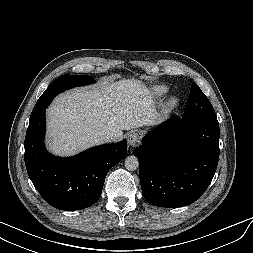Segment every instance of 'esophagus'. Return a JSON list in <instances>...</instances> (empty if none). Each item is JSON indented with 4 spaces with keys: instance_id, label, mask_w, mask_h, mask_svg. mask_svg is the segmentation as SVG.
<instances>
[{
    "instance_id": "34e87169",
    "label": "esophagus",
    "mask_w": 253,
    "mask_h": 253,
    "mask_svg": "<svg viewBox=\"0 0 253 253\" xmlns=\"http://www.w3.org/2000/svg\"><path fill=\"white\" fill-rule=\"evenodd\" d=\"M127 143L130 147H136L141 143V137L137 132H131L127 137Z\"/></svg>"
}]
</instances>
